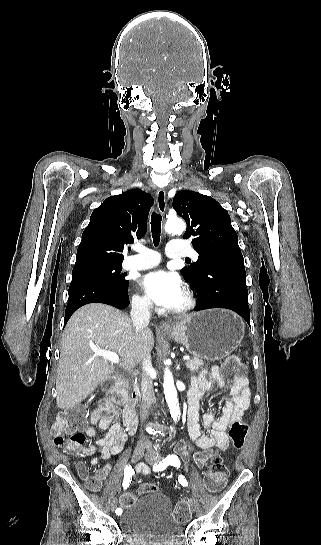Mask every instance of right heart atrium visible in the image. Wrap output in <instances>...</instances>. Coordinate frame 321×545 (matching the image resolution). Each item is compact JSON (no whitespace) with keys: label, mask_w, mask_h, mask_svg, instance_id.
<instances>
[{"label":"right heart atrium","mask_w":321,"mask_h":545,"mask_svg":"<svg viewBox=\"0 0 321 545\" xmlns=\"http://www.w3.org/2000/svg\"><path fill=\"white\" fill-rule=\"evenodd\" d=\"M132 308L143 315H149L152 312V305L144 296L135 294L131 299Z\"/></svg>","instance_id":"obj_1"}]
</instances>
